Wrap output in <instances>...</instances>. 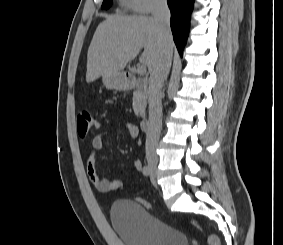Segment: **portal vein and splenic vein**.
I'll list each match as a JSON object with an SVG mask.
<instances>
[{"label":"portal vein and splenic vein","mask_w":283,"mask_h":245,"mask_svg":"<svg viewBox=\"0 0 283 245\" xmlns=\"http://www.w3.org/2000/svg\"><path fill=\"white\" fill-rule=\"evenodd\" d=\"M136 71L139 75H144L146 74V71H147L146 66L144 64L138 65Z\"/></svg>","instance_id":"18ae733b"}]
</instances>
